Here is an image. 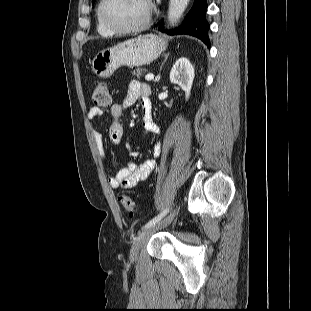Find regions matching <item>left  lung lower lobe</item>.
Wrapping results in <instances>:
<instances>
[{
    "mask_svg": "<svg viewBox=\"0 0 311 311\" xmlns=\"http://www.w3.org/2000/svg\"><path fill=\"white\" fill-rule=\"evenodd\" d=\"M207 10L206 0H195L193 7L187 14L183 25L176 30L167 31L170 35H192L201 39L208 47L210 42L208 39L207 31L209 24L205 19V12ZM163 31V23L159 27Z\"/></svg>",
    "mask_w": 311,
    "mask_h": 311,
    "instance_id": "0a47b994",
    "label": "left lung lower lobe"
}]
</instances>
